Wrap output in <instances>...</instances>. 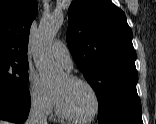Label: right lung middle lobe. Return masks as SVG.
Segmentation results:
<instances>
[{
  "label": "right lung middle lobe",
  "instance_id": "right-lung-middle-lobe-1",
  "mask_svg": "<svg viewBox=\"0 0 156 124\" xmlns=\"http://www.w3.org/2000/svg\"><path fill=\"white\" fill-rule=\"evenodd\" d=\"M0 89L28 95V63L0 62Z\"/></svg>",
  "mask_w": 156,
  "mask_h": 124
}]
</instances>
